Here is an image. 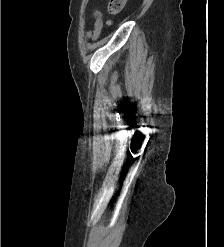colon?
<instances>
[{"label":"colon","instance_id":"colon-1","mask_svg":"<svg viewBox=\"0 0 224 247\" xmlns=\"http://www.w3.org/2000/svg\"><path fill=\"white\" fill-rule=\"evenodd\" d=\"M126 4L127 0H109L107 11L111 16L117 15L123 11Z\"/></svg>","mask_w":224,"mask_h":247}]
</instances>
